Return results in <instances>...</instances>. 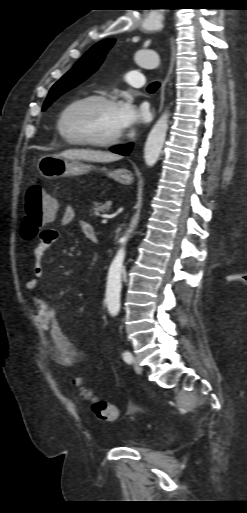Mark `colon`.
I'll return each instance as SVG.
<instances>
[{
  "mask_svg": "<svg viewBox=\"0 0 247 513\" xmlns=\"http://www.w3.org/2000/svg\"><path fill=\"white\" fill-rule=\"evenodd\" d=\"M23 207L21 237L24 240L37 237L41 229L50 224L58 213L57 200L40 185H32L28 188ZM74 384L80 387L81 395L91 402V409L97 418L106 421L117 419L118 410L114 405L94 396L89 389L81 386L79 379H75Z\"/></svg>",
  "mask_w": 247,
  "mask_h": 513,
  "instance_id": "5ec220e1",
  "label": "colon"
}]
</instances>
